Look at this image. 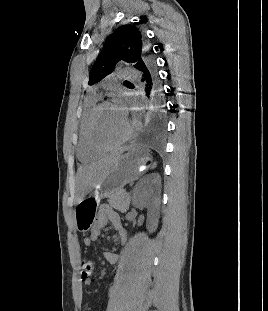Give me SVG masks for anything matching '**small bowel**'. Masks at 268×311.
<instances>
[{"instance_id": "obj_1", "label": "small bowel", "mask_w": 268, "mask_h": 311, "mask_svg": "<svg viewBox=\"0 0 268 311\" xmlns=\"http://www.w3.org/2000/svg\"><path fill=\"white\" fill-rule=\"evenodd\" d=\"M107 223H110L114 227L121 244L122 245L126 244L127 232L125 228L122 226L119 215L112 209L104 207L101 210L90 234L84 239L85 246L90 247L94 242L99 240L101 231L106 226ZM104 255L107 261L110 262L111 264H116L119 260V256L111 251H106ZM83 282L85 285L89 286L92 283V279L89 276L83 278Z\"/></svg>"}]
</instances>
